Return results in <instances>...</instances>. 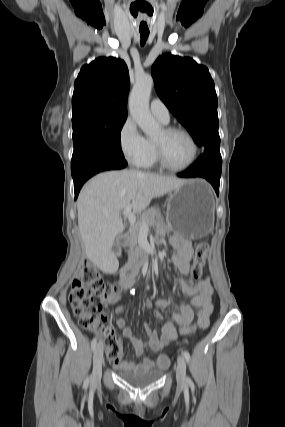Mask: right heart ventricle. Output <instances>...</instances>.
<instances>
[{
  "instance_id": "right-heart-ventricle-1",
  "label": "right heart ventricle",
  "mask_w": 285,
  "mask_h": 427,
  "mask_svg": "<svg viewBox=\"0 0 285 427\" xmlns=\"http://www.w3.org/2000/svg\"><path fill=\"white\" fill-rule=\"evenodd\" d=\"M149 150L144 159L138 165L142 168H153L157 164V159L155 155V148L152 140H148Z\"/></svg>"
}]
</instances>
